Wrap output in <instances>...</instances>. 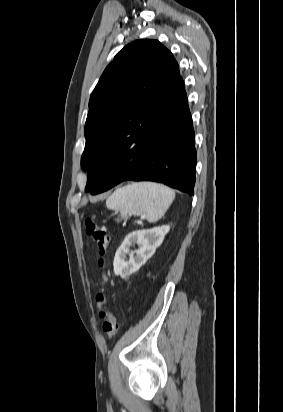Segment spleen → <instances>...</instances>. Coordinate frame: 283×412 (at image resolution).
<instances>
[{"label": "spleen", "instance_id": "1", "mask_svg": "<svg viewBox=\"0 0 283 412\" xmlns=\"http://www.w3.org/2000/svg\"><path fill=\"white\" fill-rule=\"evenodd\" d=\"M174 198L175 192L164 185L133 182L114 191L106 206L119 211L121 219L144 215L148 222L155 223L164 216Z\"/></svg>", "mask_w": 283, "mask_h": 412}]
</instances>
